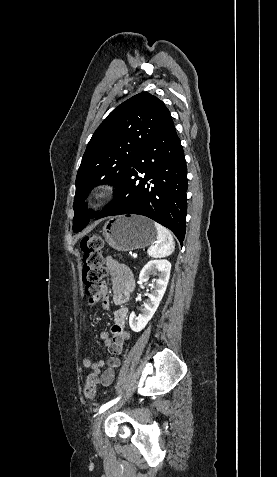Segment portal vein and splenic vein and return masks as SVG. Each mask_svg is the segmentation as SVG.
<instances>
[{
	"instance_id": "18ae733b",
	"label": "portal vein and splenic vein",
	"mask_w": 277,
	"mask_h": 477,
	"mask_svg": "<svg viewBox=\"0 0 277 477\" xmlns=\"http://www.w3.org/2000/svg\"><path fill=\"white\" fill-rule=\"evenodd\" d=\"M133 257H134V258H137V254H133Z\"/></svg>"
}]
</instances>
